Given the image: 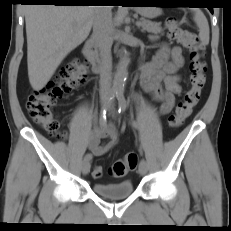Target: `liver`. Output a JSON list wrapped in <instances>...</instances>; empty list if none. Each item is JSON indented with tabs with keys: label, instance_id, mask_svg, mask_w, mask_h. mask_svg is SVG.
<instances>
[{
	"label": "liver",
	"instance_id": "liver-1",
	"mask_svg": "<svg viewBox=\"0 0 231 231\" xmlns=\"http://www.w3.org/2000/svg\"><path fill=\"white\" fill-rule=\"evenodd\" d=\"M95 6L27 5L28 77L32 88L47 85L64 58L88 37Z\"/></svg>",
	"mask_w": 231,
	"mask_h": 231
}]
</instances>
